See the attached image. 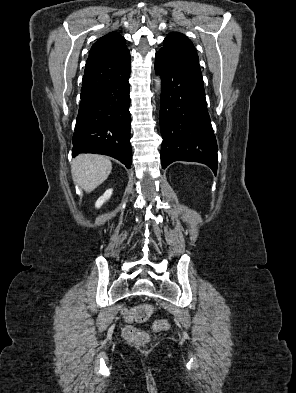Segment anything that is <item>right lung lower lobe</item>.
I'll return each mask as SVG.
<instances>
[{"instance_id": "1", "label": "right lung lower lobe", "mask_w": 296, "mask_h": 393, "mask_svg": "<svg viewBox=\"0 0 296 393\" xmlns=\"http://www.w3.org/2000/svg\"><path fill=\"white\" fill-rule=\"evenodd\" d=\"M130 52L91 55L84 71L72 156L98 153L132 162Z\"/></svg>"}]
</instances>
